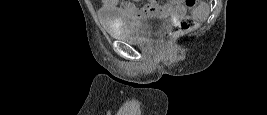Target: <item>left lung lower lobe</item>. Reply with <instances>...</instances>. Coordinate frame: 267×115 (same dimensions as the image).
<instances>
[{"label":"left lung lower lobe","instance_id":"0a47b994","mask_svg":"<svg viewBox=\"0 0 267 115\" xmlns=\"http://www.w3.org/2000/svg\"><path fill=\"white\" fill-rule=\"evenodd\" d=\"M143 87H159V86H143Z\"/></svg>","mask_w":267,"mask_h":115}]
</instances>
